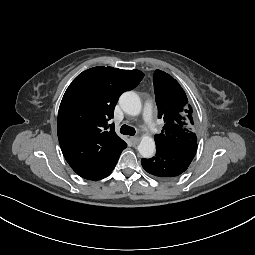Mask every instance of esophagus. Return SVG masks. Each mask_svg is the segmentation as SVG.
<instances>
[{
	"instance_id": "34e87169",
	"label": "esophagus",
	"mask_w": 255,
	"mask_h": 255,
	"mask_svg": "<svg viewBox=\"0 0 255 255\" xmlns=\"http://www.w3.org/2000/svg\"><path fill=\"white\" fill-rule=\"evenodd\" d=\"M130 141L133 145H136L139 142V138L138 137H130Z\"/></svg>"
}]
</instances>
